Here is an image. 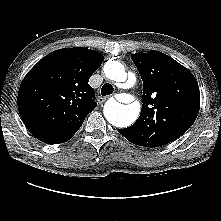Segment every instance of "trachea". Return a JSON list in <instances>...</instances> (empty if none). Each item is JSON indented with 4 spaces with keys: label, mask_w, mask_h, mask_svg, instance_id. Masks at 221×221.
Here are the masks:
<instances>
[{
    "label": "trachea",
    "mask_w": 221,
    "mask_h": 221,
    "mask_svg": "<svg viewBox=\"0 0 221 221\" xmlns=\"http://www.w3.org/2000/svg\"><path fill=\"white\" fill-rule=\"evenodd\" d=\"M113 91H114L113 86L109 83H106L101 88V95L102 96L110 95L113 93Z\"/></svg>",
    "instance_id": "1"
}]
</instances>
